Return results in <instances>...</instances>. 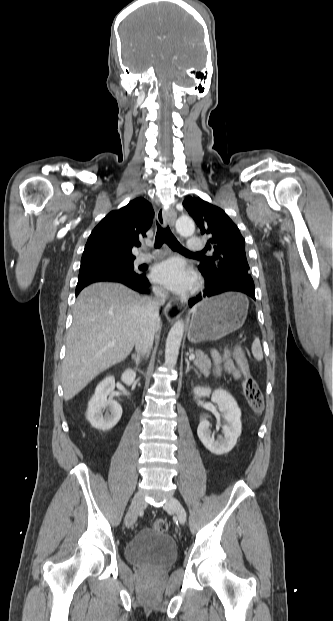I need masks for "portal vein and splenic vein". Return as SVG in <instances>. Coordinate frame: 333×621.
I'll return each mask as SVG.
<instances>
[{"mask_svg": "<svg viewBox=\"0 0 333 621\" xmlns=\"http://www.w3.org/2000/svg\"><path fill=\"white\" fill-rule=\"evenodd\" d=\"M196 356L194 354L189 355L190 360H195Z\"/></svg>", "mask_w": 333, "mask_h": 621, "instance_id": "1", "label": "portal vein and splenic vein"}]
</instances>
